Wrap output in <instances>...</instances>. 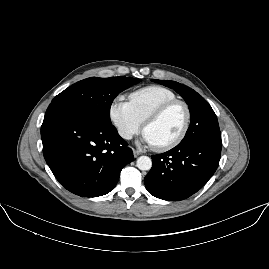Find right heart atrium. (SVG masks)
I'll list each match as a JSON object with an SVG mask.
<instances>
[{
	"instance_id": "d8ad5b80",
	"label": "right heart atrium",
	"mask_w": 269,
	"mask_h": 269,
	"mask_svg": "<svg viewBox=\"0 0 269 269\" xmlns=\"http://www.w3.org/2000/svg\"><path fill=\"white\" fill-rule=\"evenodd\" d=\"M109 116L118 134L124 139H130L142 130L143 123L136 117L130 103L122 95L116 96L112 101Z\"/></svg>"
}]
</instances>
